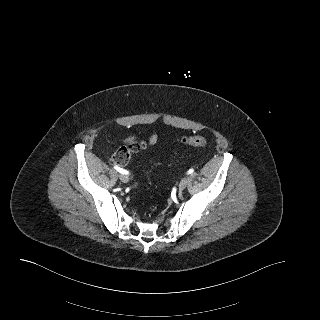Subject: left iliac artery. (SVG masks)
<instances>
[{"label":"left iliac artery","instance_id":"1","mask_svg":"<svg viewBox=\"0 0 320 320\" xmlns=\"http://www.w3.org/2000/svg\"><path fill=\"white\" fill-rule=\"evenodd\" d=\"M194 172L193 169H189L188 174H192Z\"/></svg>","mask_w":320,"mask_h":320}]
</instances>
